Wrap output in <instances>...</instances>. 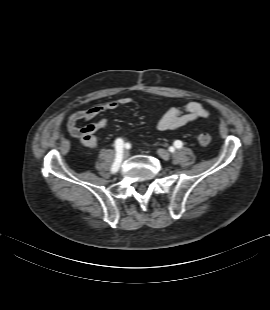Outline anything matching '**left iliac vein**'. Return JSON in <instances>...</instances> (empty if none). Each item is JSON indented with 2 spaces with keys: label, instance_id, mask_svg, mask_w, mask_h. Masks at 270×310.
<instances>
[{
  "label": "left iliac vein",
  "instance_id": "4c4485c4",
  "mask_svg": "<svg viewBox=\"0 0 270 310\" xmlns=\"http://www.w3.org/2000/svg\"><path fill=\"white\" fill-rule=\"evenodd\" d=\"M158 155L163 159V160H169L170 159V154L167 150L165 149H159L158 150Z\"/></svg>",
  "mask_w": 270,
  "mask_h": 310
}]
</instances>
